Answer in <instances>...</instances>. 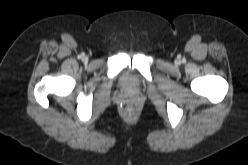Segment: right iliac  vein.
<instances>
[{
  "instance_id": "obj_1",
  "label": "right iliac vein",
  "mask_w": 248,
  "mask_h": 165,
  "mask_svg": "<svg viewBox=\"0 0 248 165\" xmlns=\"http://www.w3.org/2000/svg\"><path fill=\"white\" fill-rule=\"evenodd\" d=\"M82 60H83V61H87L88 58H87L86 56H83V57H82Z\"/></svg>"
}]
</instances>
